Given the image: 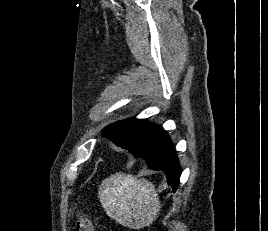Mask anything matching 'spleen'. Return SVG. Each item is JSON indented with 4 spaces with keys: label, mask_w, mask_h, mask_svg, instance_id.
Returning a JSON list of instances; mask_svg holds the SVG:
<instances>
[{
    "label": "spleen",
    "mask_w": 268,
    "mask_h": 231,
    "mask_svg": "<svg viewBox=\"0 0 268 231\" xmlns=\"http://www.w3.org/2000/svg\"><path fill=\"white\" fill-rule=\"evenodd\" d=\"M98 197L107 215L129 228L149 226L161 208L154 185L130 174L116 173L103 180Z\"/></svg>",
    "instance_id": "1"
}]
</instances>
